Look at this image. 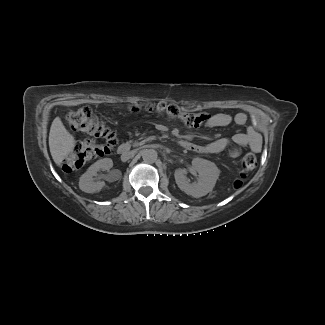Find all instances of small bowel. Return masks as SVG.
Listing matches in <instances>:
<instances>
[{
	"instance_id": "1",
	"label": "small bowel",
	"mask_w": 325,
	"mask_h": 325,
	"mask_svg": "<svg viewBox=\"0 0 325 325\" xmlns=\"http://www.w3.org/2000/svg\"><path fill=\"white\" fill-rule=\"evenodd\" d=\"M208 120L206 126L212 127H224L231 124L244 125L246 122V115L244 113L228 114L217 113L207 115ZM67 137L71 138L73 145H80L82 139V132L75 129L67 130ZM233 145V146H232ZM244 147H252V139L249 133H237L232 139L219 138L206 145L193 146L188 149H194L202 153H218L229 149V153L232 157H237L241 153V149Z\"/></svg>"
}]
</instances>
